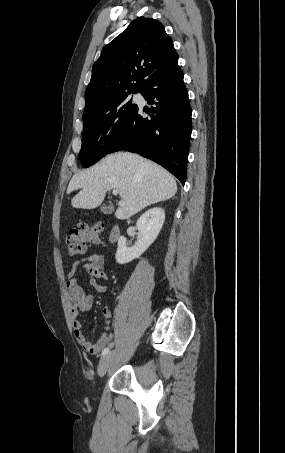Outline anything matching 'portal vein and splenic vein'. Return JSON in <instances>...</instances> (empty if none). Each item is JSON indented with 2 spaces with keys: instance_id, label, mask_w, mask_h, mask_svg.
I'll return each mask as SVG.
<instances>
[{
  "instance_id": "18ae733b",
  "label": "portal vein and splenic vein",
  "mask_w": 285,
  "mask_h": 453,
  "mask_svg": "<svg viewBox=\"0 0 285 453\" xmlns=\"http://www.w3.org/2000/svg\"><path fill=\"white\" fill-rule=\"evenodd\" d=\"M112 193H113V195H118L119 191L117 189H113Z\"/></svg>"
}]
</instances>
